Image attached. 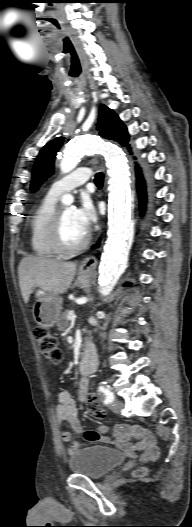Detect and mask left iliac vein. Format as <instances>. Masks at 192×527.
I'll list each match as a JSON object with an SVG mask.
<instances>
[{"label": "left iliac vein", "mask_w": 192, "mask_h": 527, "mask_svg": "<svg viewBox=\"0 0 192 527\" xmlns=\"http://www.w3.org/2000/svg\"><path fill=\"white\" fill-rule=\"evenodd\" d=\"M123 402L120 401V400H116L113 402L112 406H111V409L114 413H120L121 410L123 409Z\"/></svg>", "instance_id": "4c4485c4"}]
</instances>
